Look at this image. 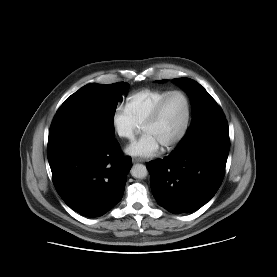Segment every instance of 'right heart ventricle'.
Returning a JSON list of instances; mask_svg holds the SVG:
<instances>
[{
	"label": "right heart ventricle",
	"mask_w": 277,
	"mask_h": 277,
	"mask_svg": "<svg viewBox=\"0 0 277 277\" xmlns=\"http://www.w3.org/2000/svg\"><path fill=\"white\" fill-rule=\"evenodd\" d=\"M167 89H143L131 94L126 108L133 119L142 126L153 112L158 102L170 92Z\"/></svg>",
	"instance_id": "right-heart-ventricle-1"
}]
</instances>
